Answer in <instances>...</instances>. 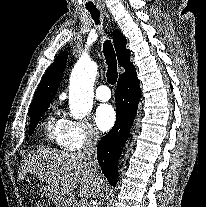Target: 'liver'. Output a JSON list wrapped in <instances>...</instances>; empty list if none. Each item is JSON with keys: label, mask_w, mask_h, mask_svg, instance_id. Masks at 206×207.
<instances>
[{"label": "liver", "mask_w": 206, "mask_h": 207, "mask_svg": "<svg viewBox=\"0 0 206 207\" xmlns=\"http://www.w3.org/2000/svg\"><path fill=\"white\" fill-rule=\"evenodd\" d=\"M19 179L23 180L27 173H32L47 184V196L56 207H65L72 203L71 192L78 187V196L95 197L97 187L88 163L80 153L59 152L55 150H38L24 156ZM101 188L105 186L101 174Z\"/></svg>", "instance_id": "liver-1"}]
</instances>
